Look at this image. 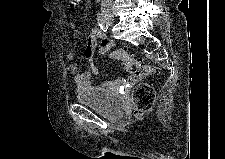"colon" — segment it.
Listing matches in <instances>:
<instances>
[{"mask_svg": "<svg viewBox=\"0 0 225 159\" xmlns=\"http://www.w3.org/2000/svg\"><path fill=\"white\" fill-rule=\"evenodd\" d=\"M71 1L75 3L78 0ZM101 53H108L110 58L121 61L132 80L136 81L149 77L154 72V69L149 64L135 58L124 49L111 50L102 48ZM132 99L135 114L137 116L142 115L152 109L155 101V90L147 83H139L133 90Z\"/></svg>", "mask_w": 225, "mask_h": 159, "instance_id": "1", "label": "colon"}]
</instances>
